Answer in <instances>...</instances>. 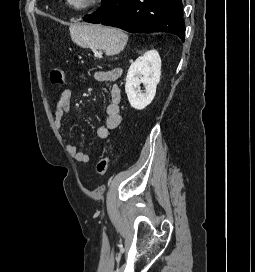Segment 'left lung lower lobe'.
I'll list each match as a JSON object with an SVG mask.
<instances>
[{"instance_id": "left-lung-lower-lobe-1", "label": "left lung lower lobe", "mask_w": 255, "mask_h": 272, "mask_svg": "<svg viewBox=\"0 0 255 272\" xmlns=\"http://www.w3.org/2000/svg\"><path fill=\"white\" fill-rule=\"evenodd\" d=\"M84 21L132 33H173L182 41L185 36L181 0H104L103 6Z\"/></svg>"}]
</instances>
